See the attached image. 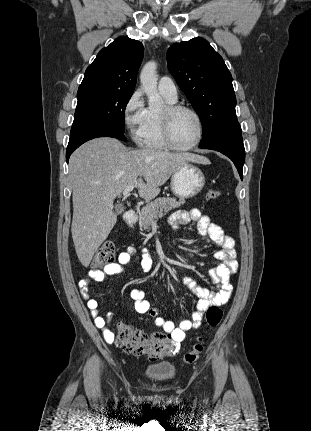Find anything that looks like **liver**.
<instances>
[{
    "mask_svg": "<svg viewBox=\"0 0 311 431\" xmlns=\"http://www.w3.org/2000/svg\"><path fill=\"white\" fill-rule=\"evenodd\" d=\"M211 164L198 154H171L156 148L129 152L115 138H96L80 146L69 162L72 184V237L82 265L88 267L99 245L113 229L117 216L113 202L127 186L140 198L154 200L160 186L184 164Z\"/></svg>",
    "mask_w": 311,
    "mask_h": 431,
    "instance_id": "1",
    "label": "liver"
}]
</instances>
